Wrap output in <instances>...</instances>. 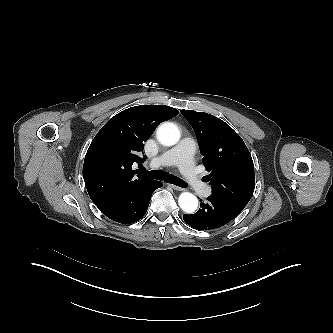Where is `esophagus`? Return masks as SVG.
<instances>
[{
    "label": "esophagus",
    "instance_id": "esophagus-1",
    "mask_svg": "<svg viewBox=\"0 0 333 333\" xmlns=\"http://www.w3.org/2000/svg\"><path fill=\"white\" fill-rule=\"evenodd\" d=\"M172 189L176 190V191H183L184 189L179 187V186H176V185H173V184H168Z\"/></svg>",
    "mask_w": 333,
    "mask_h": 333
}]
</instances>
